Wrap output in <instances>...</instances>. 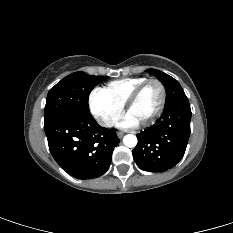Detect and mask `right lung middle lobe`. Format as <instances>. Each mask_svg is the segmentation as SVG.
Returning a JSON list of instances; mask_svg holds the SVG:
<instances>
[{"mask_svg":"<svg viewBox=\"0 0 233 233\" xmlns=\"http://www.w3.org/2000/svg\"><path fill=\"white\" fill-rule=\"evenodd\" d=\"M107 76L75 72L52 87L47 95L44 124L61 116L89 112L88 98L92 89Z\"/></svg>","mask_w":233,"mask_h":233,"instance_id":"1","label":"right lung middle lobe"}]
</instances>
